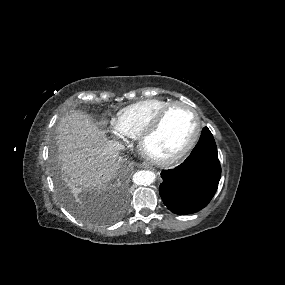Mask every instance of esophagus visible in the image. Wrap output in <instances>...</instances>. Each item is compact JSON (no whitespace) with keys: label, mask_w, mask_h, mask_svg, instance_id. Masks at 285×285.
Wrapping results in <instances>:
<instances>
[{"label":"esophagus","mask_w":285,"mask_h":285,"mask_svg":"<svg viewBox=\"0 0 285 285\" xmlns=\"http://www.w3.org/2000/svg\"><path fill=\"white\" fill-rule=\"evenodd\" d=\"M141 167L144 168V169H149V168H150V165L147 164V163H142V164H141Z\"/></svg>","instance_id":"1"}]
</instances>
